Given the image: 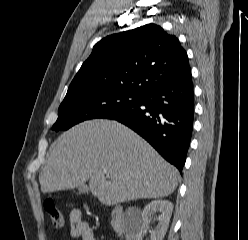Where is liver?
Segmentation results:
<instances>
[{"mask_svg":"<svg viewBox=\"0 0 248 240\" xmlns=\"http://www.w3.org/2000/svg\"><path fill=\"white\" fill-rule=\"evenodd\" d=\"M107 173H104V171ZM180 175L144 139L116 121L91 120L52 144L39 175L43 193L73 189L89 180L105 205L167 197Z\"/></svg>","mask_w":248,"mask_h":240,"instance_id":"obj_1","label":"liver"}]
</instances>
